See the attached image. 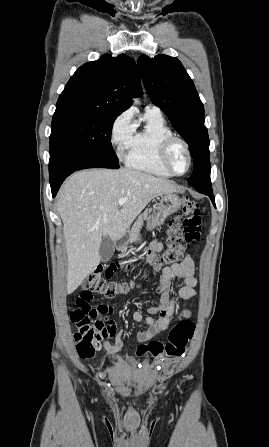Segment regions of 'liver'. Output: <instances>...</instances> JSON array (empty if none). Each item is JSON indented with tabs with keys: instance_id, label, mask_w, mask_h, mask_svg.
<instances>
[{
	"instance_id": "6515ba94",
	"label": "liver",
	"mask_w": 269,
	"mask_h": 447,
	"mask_svg": "<svg viewBox=\"0 0 269 447\" xmlns=\"http://www.w3.org/2000/svg\"><path fill=\"white\" fill-rule=\"evenodd\" d=\"M171 192H177L174 182L129 168L82 170L70 176L57 204L66 241L67 293L99 265L102 237L117 241L153 198ZM120 198H128L124 206H119Z\"/></svg>"
}]
</instances>
